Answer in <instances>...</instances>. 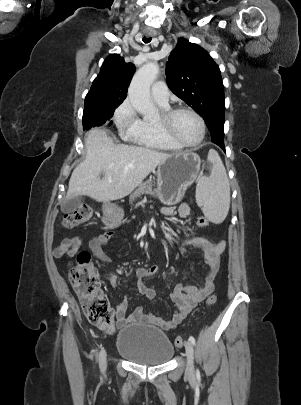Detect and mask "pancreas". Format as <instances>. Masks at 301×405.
<instances>
[{
    "mask_svg": "<svg viewBox=\"0 0 301 405\" xmlns=\"http://www.w3.org/2000/svg\"><path fill=\"white\" fill-rule=\"evenodd\" d=\"M153 181L147 180L144 183H141L139 187L133 192V194L130 196V201H134L135 199L141 197L142 195H156V190H153Z\"/></svg>",
    "mask_w": 301,
    "mask_h": 405,
    "instance_id": "obj_1",
    "label": "pancreas"
}]
</instances>
